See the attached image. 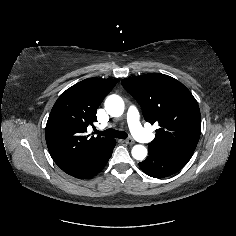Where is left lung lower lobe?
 <instances>
[{"label":"left lung lower lobe","mask_w":236,"mask_h":236,"mask_svg":"<svg viewBox=\"0 0 236 236\" xmlns=\"http://www.w3.org/2000/svg\"><path fill=\"white\" fill-rule=\"evenodd\" d=\"M149 150V156L140 162V168L149 176L164 178L178 172L192 157V154L164 153Z\"/></svg>","instance_id":"1"}]
</instances>
